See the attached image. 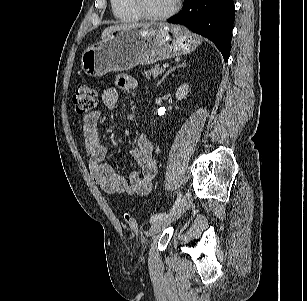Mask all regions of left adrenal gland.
<instances>
[{"label": "left adrenal gland", "mask_w": 307, "mask_h": 301, "mask_svg": "<svg viewBox=\"0 0 307 301\" xmlns=\"http://www.w3.org/2000/svg\"><path fill=\"white\" fill-rule=\"evenodd\" d=\"M186 66V63H182L180 65H177L173 68H171L170 70H168L165 75L162 77V79L159 81L158 85H160L162 83V81H164V79L171 73L173 72L175 69L179 68V67H185Z\"/></svg>", "instance_id": "left-adrenal-gland-1"}]
</instances>
